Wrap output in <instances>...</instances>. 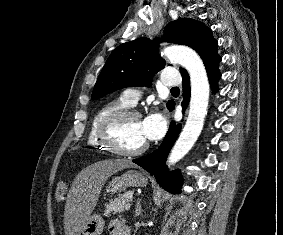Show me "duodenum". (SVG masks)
Returning a JSON list of instances; mask_svg holds the SVG:
<instances>
[{
	"label": "duodenum",
	"mask_w": 283,
	"mask_h": 235,
	"mask_svg": "<svg viewBox=\"0 0 283 235\" xmlns=\"http://www.w3.org/2000/svg\"><path fill=\"white\" fill-rule=\"evenodd\" d=\"M118 235H130V230L128 226L119 224Z\"/></svg>",
	"instance_id": "obj_1"
}]
</instances>
